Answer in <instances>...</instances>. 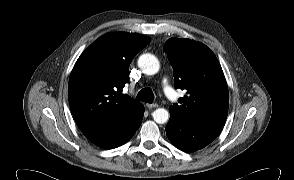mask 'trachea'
I'll return each instance as SVG.
<instances>
[{"mask_svg":"<svg viewBox=\"0 0 294 180\" xmlns=\"http://www.w3.org/2000/svg\"><path fill=\"white\" fill-rule=\"evenodd\" d=\"M136 99L147 103H153L154 94L150 88H144L138 92Z\"/></svg>","mask_w":294,"mask_h":180,"instance_id":"1","label":"trachea"}]
</instances>
